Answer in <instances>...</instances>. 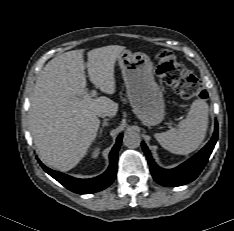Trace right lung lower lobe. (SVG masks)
<instances>
[{"label": "right lung lower lobe", "mask_w": 234, "mask_h": 231, "mask_svg": "<svg viewBox=\"0 0 234 231\" xmlns=\"http://www.w3.org/2000/svg\"><path fill=\"white\" fill-rule=\"evenodd\" d=\"M122 141V134L117 138L116 144L110 152V165L106 172L98 177L91 179H78L66 174L51 170L43 165L40 160L39 163L42 168L54 179L60 182L63 186L72 192L78 194H90L101 191L108 187L115 179L117 172V152L120 148V143Z\"/></svg>", "instance_id": "98d812e1"}]
</instances>
